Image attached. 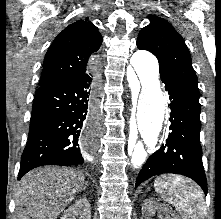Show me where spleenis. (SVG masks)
<instances>
[{
    "mask_svg": "<svg viewBox=\"0 0 221 219\" xmlns=\"http://www.w3.org/2000/svg\"><path fill=\"white\" fill-rule=\"evenodd\" d=\"M155 191L173 204L183 219H204L206 205L202 191L189 179L177 175L155 180Z\"/></svg>",
    "mask_w": 221,
    "mask_h": 219,
    "instance_id": "1",
    "label": "spleen"
}]
</instances>
